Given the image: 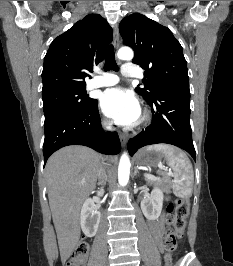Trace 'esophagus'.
<instances>
[{"instance_id": "1", "label": "esophagus", "mask_w": 233, "mask_h": 266, "mask_svg": "<svg viewBox=\"0 0 233 266\" xmlns=\"http://www.w3.org/2000/svg\"><path fill=\"white\" fill-rule=\"evenodd\" d=\"M113 43H114L115 48L118 49L120 45V41H119V30H118L117 25L114 26ZM119 138H120L122 146H125L128 140L127 136L123 133H120Z\"/></svg>"}]
</instances>
